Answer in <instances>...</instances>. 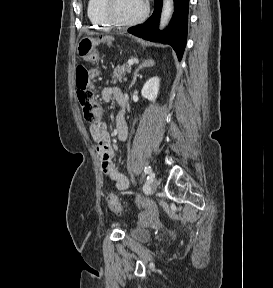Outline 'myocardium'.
Masks as SVG:
<instances>
[{"instance_id": "myocardium-1", "label": "myocardium", "mask_w": 273, "mask_h": 288, "mask_svg": "<svg viewBox=\"0 0 273 288\" xmlns=\"http://www.w3.org/2000/svg\"><path fill=\"white\" fill-rule=\"evenodd\" d=\"M113 3H114V0H102V6H101V11H102V15L104 19L113 26L130 27V26L137 25L143 22L149 13V5L147 2H144L145 3L144 10L140 16L132 20H120L116 18L112 12Z\"/></svg>"}]
</instances>
